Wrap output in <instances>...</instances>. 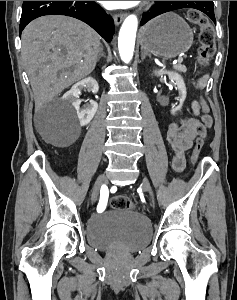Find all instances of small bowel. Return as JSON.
Segmentation results:
<instances>
[{"label":"small bowel","instance_id":"small-bowel-1","mask_svg":"<svg viewBox=\"0 0 237 300\" xmlns=\"http://www.w3.org/2000/svg\"><path fill=\"white\" fill-rule=\"evenodd\" d=\"M207 76L200 78L196 87H203L206 84ZM201 109L205 111V103L194 101L192 110L195 116L200 114ZM212 125V119L204 114L201 119L190 118L173 121L169 124L166 132V139L174 151L172 166L176 172H182L185 168V152L193 147V141L197 137L205 138L207 129Z\"/></svg>","mask_w":237,"mask_h":300}]
</instances>
